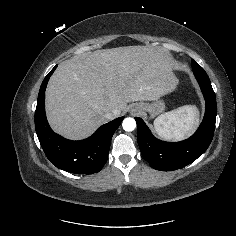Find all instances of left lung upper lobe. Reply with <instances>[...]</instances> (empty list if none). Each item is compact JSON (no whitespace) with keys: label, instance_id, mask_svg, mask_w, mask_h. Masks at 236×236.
Listing matches in <instances>:
<instances>
[{"label":"left lung upper lobe","instance_id":"obj_1","mask_svg":"<svg viewBox=\"0 0 236 236\" xmlns=\"http://www.w3.org/2000/svg\"><path fill=\"white\" fill-rule=\"evenodd\" d=\"M193 72H205L204 69L198 65L194 60H192Z\"/></svg>","mask_w":236,"mask_h":236}]
</instances>
